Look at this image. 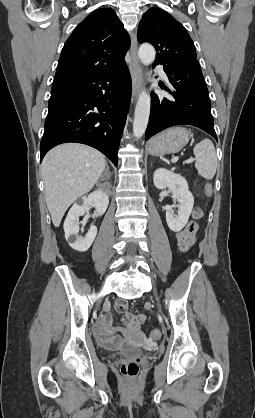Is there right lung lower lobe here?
<instances>
[{"instance_id":"right-lung-lower-lobe-1","label":"right lung lower lobe","mask_w":255,"mask_h":418,"mask_svg":"<svg viewBox=\"0 0 255 418\" xmlns=\"http://www.w3.org/2000/svg\"><path fill=\"white\" fill-rule=\"evenodd\" d=\"M131 89L126 64L110 72L54 81L40 161L54 146L77 142L98 149L117 166Z\"/></svg>"}]
</instances>
